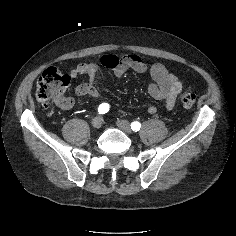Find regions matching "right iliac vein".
<instances>
[{"mask_svg": "<svg viewBox=\"0 0 236 236\" xmlns=\"http://www.w3.org/2000/svg\"><path fill=\"white\" fill-rule=\"evenodd\" d=\"M102 122H103L102 118L98 116L92 119L91 124L95 129H99L102 126Z\"/></svg>", "mask_w": 236, "mask_h": 236, "instance_id": "63e3f726", "label": "right iliac vein"}]
</instances>
